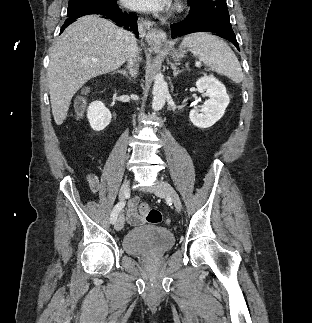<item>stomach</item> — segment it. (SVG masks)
Returning <instances> with one entry per match:
<instances>
[{"mask_svg": "<svg viewBox=\"0 0 312 323\" xmlns=\"http://www.w3.org/2000/svg\"><path fill=\"white\" fill-rule=\"evenodd\" d=\"M168 44H171V42H168ZM168 52L174 60H179V58H183L185 54V50L183 48H180V50H174V48H168Z\"/></svg>", "mask_w": 312, "mask_h": 323, "instance_id": "obj_1", "label": "stomach"}]
</instances>
